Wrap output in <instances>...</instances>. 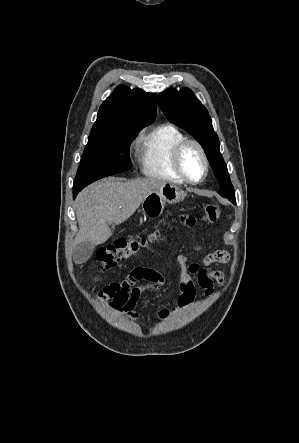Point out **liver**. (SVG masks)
Masks as SVG:
<instances>
[{"mask_svg": "<svg viewBox=\"0 0 299 443\" xmlns=\"http://www.w3.org/2000/svg\"><path fill=\"white\" fill-rule=\"evenodd\" d=\"M164 184L165 181L153 178L109 177L85 188L76 199L79 231L75 245L106 242L112 235L110 226L129 219L146 196Z\"/></svg>", "mask_w": 299, "mask_h": 443, "instance_id": "6515ba94", "label": "liver"}]
</instances>
